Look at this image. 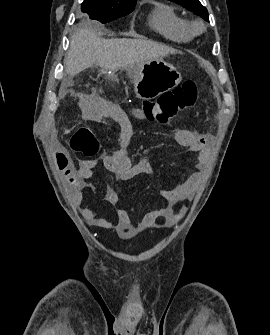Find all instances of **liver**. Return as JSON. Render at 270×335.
<instances>
[{
  "label": "liver",
  "instance_id": "6515ba94",
  "mask_svg": "<svg viewBox=\"0 0 270 335\" xmlns=\"http://www.w3.org/2000/svg\"><path fill=\"white\" fill-rule=\"evenodd\" d=\"M174 48L151 42L146 38L131 40V38H98L91 28H77L74 32L70 48L64 60L67 74L76 76L92 64H97L106 72H117L122 68H128V72L134 78L137 70L164 58L167 54H173Z\"/></svg>",
  "mask_w": 270,
  "mask_h": 335
}]
</instances>
